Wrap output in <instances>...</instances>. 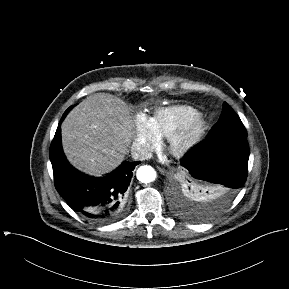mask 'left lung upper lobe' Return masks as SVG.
Segmentation results:
<instances>
[{
	"mask_svg": "<svg viewBox=\"0 0 289 289\" xmlns=\"http://www.w3.org/2000/svg\"><path fill=\"white\" fill-rule=\"evenodd\" d=\"M246 136L247 131L240 118L225 102L218 122L205 139L212 141L225 137ZM189 190L193 195L188 194L190 197L187 198V201L177 203L176 210L179 214L194 221H205L216 214L219 209H216L214 201L207 197L204 187L193 185Z\"/></svg>",
	"mask_w": 289,
	"mask_h": 289,
	"instance_id": "1",
	"label": "left lung upper lobe"
}]
</instances>
